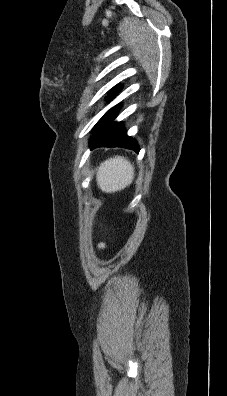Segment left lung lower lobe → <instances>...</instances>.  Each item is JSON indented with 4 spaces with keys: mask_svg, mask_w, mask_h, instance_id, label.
Instances as JSON below:
<instances>
[{
    "mask_svg": "<svg viewBox=\"0 0 227 396\" xmlns=\"http://www.w3.org/2000/svg\"><path fill=\"white\" fill-rule=\"evenodd\" d=\"M121 87L115 88L111 96L117 95ZM120 105L111 108L98 122L100 130L90 139L91 149L97 147H123L139 152V145L135 139L127 136L123 125L113 122Z\"/></svg>",
    "mask_w": 227,
    "mask_h": 396,
    "instance_id": "0a47b994",
    "label": "left lung lower lobe"
}]
</instances>
